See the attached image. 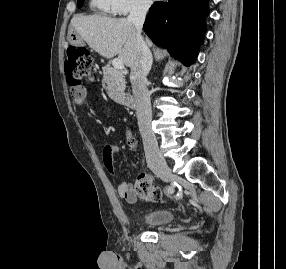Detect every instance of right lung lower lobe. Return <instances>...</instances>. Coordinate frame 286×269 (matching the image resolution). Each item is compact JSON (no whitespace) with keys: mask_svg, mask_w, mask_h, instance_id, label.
I'll use <instances>...</instances> for the list:
<instances>
[{"mask_svg":"<svg viewBox=\"0 0 286 269\" xmlns=\"http://www.w3.org/2000/svg\"><path fill=\"white\" fill-rule=\"evenodd\" d=\"M208 15V0H169L155 2L146 17L144 31L158 46L194 63L205 33L204 17Z\"/></svg>","mask_w":286,"mask_h":269,"instance_id":"obj_1","label":"right lung lower lobe"}]
</instances>
